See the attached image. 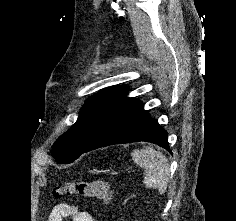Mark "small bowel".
<instances>
[{"label":"small bowel","instance_id":"c3829d8e","mask_svg":"<svg viewBox=\"0 0 236 221\" xmlns=\"http://www.w3.org/2000/svg\"><path fill=\"white\" fill-rule=\"evenodd\" d=\"M64 218H70L72 221H95L91 213L68 203L57 204L52 209L47 221H63Z\"/></svg>","mask_w":236,"mask_h":221}]
</instances>
